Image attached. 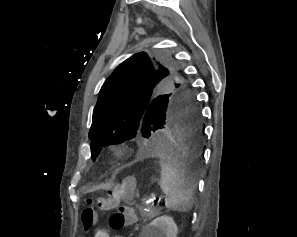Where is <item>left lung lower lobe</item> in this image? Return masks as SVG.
Instances as JSON below:
<instances>
[{
    "instance_id": "0a47b994",
    "label": "left lung lower lobe",
    "mask_w": 297,
    "mask_h": 237,
    "mask_svg": "<svg viewBox=\"0 0 297 237\" xmlns=\"http://www.w3.org/2000/svg\"><path fill=\"white\" fill-rule=\"evenodd\" d=\"M140 151L141 156H164L180 165L198 167L204 141L201 114L197 104L176 102Z\"/></svg>"
}]
</instances>
